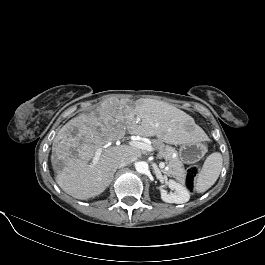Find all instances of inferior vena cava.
<instances>
[{
	"label": "inferior vena cava",
	"mask_w": 265,
	"mask_h": 265,
	"mask_svg": "<svg viewBox=\"0 0 265 265\" xmlns=\"http://www.w3.org/2000/svg\"><path fill=\"white\" fill-rule=\"evenodd\" d=\"M136 160V158L134 156H126L124 158H122L118 164H117V168H121L123 166L129 165L132 162H134Z\"/></svg>",
	"instance_id": "inferior-vena-cava-1"
}]
</instances>
